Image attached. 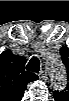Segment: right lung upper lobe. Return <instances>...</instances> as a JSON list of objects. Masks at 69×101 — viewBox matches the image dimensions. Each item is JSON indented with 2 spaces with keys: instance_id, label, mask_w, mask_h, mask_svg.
Returning <instances> with one entry per match:
<instances>
[{
  "instance_id": "cb5924a9",
  "label": "right lung upper lobe",
  "mask_w": 69,
  "mask_h": 101,
  "mask_svg": "<svg viewBox=\"0 0 69 101\" xmlns=\"http://www.w3.org/2000/svg\"><path fill=\"white\" fill-rule=\"evenodd\" d=\"M25 58L14 55L10 50L3 53L1 59V91L10 99L21 100L29 82L38 80L34 73L25 72Z\"/></svg>"
}]
</instances>
